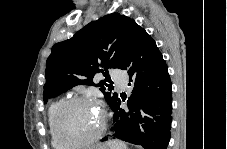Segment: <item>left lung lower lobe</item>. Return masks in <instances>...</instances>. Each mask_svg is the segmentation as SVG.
I'll use <instances>...</instances> for the list:
<instances>
[{"mask_svg":"<svg viewBox=\"0 0 227 149\" xmlns=\"http://www.w3.org/2000/svg\"><path fill=\"white\" fill-rule=\"evenodd\" d=\"M123 70L135 88L128 98V109L120 107V97L112 104V133L101 141L120 139L145 149H166L172 121L171 80L155 40L140 26Z\"/></svg>","mask_w":227,"mask_h":149,"instance_id":"0a47b994","label":"left lung lower lobe"}]
</instances>
